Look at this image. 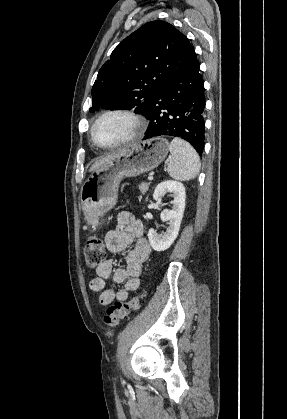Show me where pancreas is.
Instances as JSON below:
<instances>
[{"label":"pancreas","instance_id":"pancreas-1","mask_svg":"<svg viewBox=\"0 0 287 419\" xmlns=\"http://www.w3.org/2000/svg\"><path fill=\"white\" fill-rule=\"evenodd\" d=\"M149 185H150V183H146V182H142L141 184H139L138 187H139L140 192L142 194L147 192V190L149 189Z\"/></svg>","mask_w":287,"mask_h":419}]
</instances>
